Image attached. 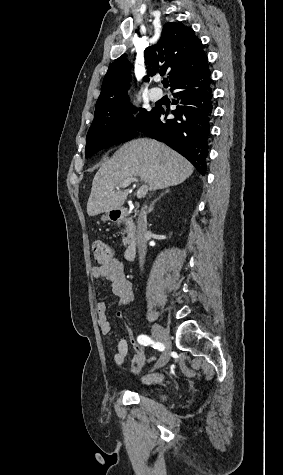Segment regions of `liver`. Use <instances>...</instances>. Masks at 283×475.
Here are the masks:
<instances>
[{"instance_id":"liver-1","label":"liver","mask_w":283,"mask_h":475,"mask_svg":"<svg viewBox=\"0 0 283 475\" xmlns=\"http://www.w3.org/2000/svg\"><path fill=\"white\" fill-rule=\"evenodd\" d=\"M194 166L166 144L138 138L123 144L111 160L101 166L92 182L87 202L88 216L119 210L129 190H115L121 182L140 176L149 190L178 186L193 174Z\"/></svg>"}]
</instances>
